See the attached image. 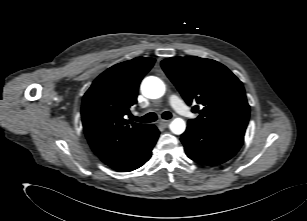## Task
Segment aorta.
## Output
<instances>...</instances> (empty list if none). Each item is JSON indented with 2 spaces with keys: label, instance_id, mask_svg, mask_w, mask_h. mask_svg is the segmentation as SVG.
Returning <instances> with one entry per match:
<instances>
[{
  "label": "aorta",
  "instance_id": "762f6f07",
  "mask_svg": "<svg viewBox=\"0 0 307 221\" xmlns=\"http://www.w3.org/2000/svg\"><path fill=\"white\" fill-rule=\"evenodd\" d=\"M142 94L150 99H157L164 95L165 84L155 76L146 77L141 83ZM186 129V123L182 118H175L170 123V130L177 135L182 134Z\"/></svg>",
  "mask_w": 307,
  "mask_h": 221
}]
</instances>
